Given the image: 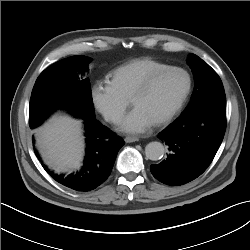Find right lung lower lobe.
<instances>
[{"instance_id": "1", "label": "right lung lower lobe", "mask_w": 250, "mask_h": 250, "mask_svg": "<svg viewBox=\"0 0 250 250\" xmlns=\"http://www.w3.org/2000/svg\"><path fill=\"white\" fill-rule=\"evenodd\" d=\"M86 157L80 171L70 175L56 174L43 164L46 172L58 183L80 192H87L101 185L110 175L117 153L124 141L99 123L96 118L84 119ZM36 156L41 158L35 151Z\"/></svg>"}]
</instances>
